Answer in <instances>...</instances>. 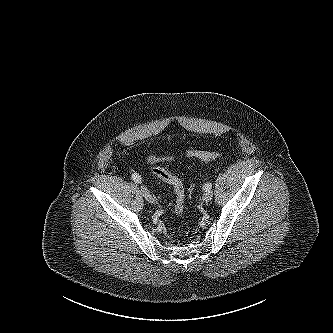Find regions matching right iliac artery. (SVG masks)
I'll list each match as a JSON object with an SVG mask.
<instances>
[{"label":"right iliac artery","instance_id":"obj_1","mask_svg":"<svg viewBox=\"0 0 333 333\" xmlns=\"http://www.w3.org/2000/svg\"><path fill=\"white\" fill-rule=\"evenodd\" d=\"M132 179H133L134 182H136V183H141V177H140V175L137 174V173L132 174Z\"/></svg>","mask_w":333,"mask_h":333}]
</instances>
